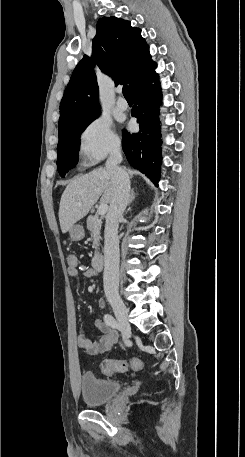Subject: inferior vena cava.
<instances>
[{
	"label": "inferior vena cava",
	"instance_id": "inferior-vena-cava-1",
	"mask_svg": "<svg viewBox=\"0 0 245 457\" xmlns=\"http://www.w3.org/2000/svg\"><path fill=\"white\" fill-rule=\"evenodd\" d=\"M122 160L120 144L113 148L106 160V172L114 186L113 198L106 216L104 231V275L103 285L106 297L119 293V239L118 226L129 200L130 180L128 172L118 166Z\"/></svg>",
	"mask_w": 245,
	"mask_h": 457
}]
</instances>
